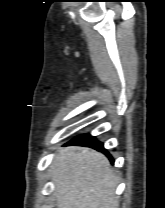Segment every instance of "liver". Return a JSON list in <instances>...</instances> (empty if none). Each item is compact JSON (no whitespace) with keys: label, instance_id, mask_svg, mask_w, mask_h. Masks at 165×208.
<instances>
[{"label":"liver","instance_id":"liver-1","mask_svg":"<svg viewBox=\"0 0 165 208\" xmlns=\"http://www.w3.org/2000/svg\"><path fill=\"white\" fill-rule=\"evenodd\" d=\"M58 208H118V179L108 159L84 147L60 149L50 166Z\"/></svg>","mask_w":165,"mask_h":208}]
</instances>
